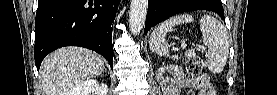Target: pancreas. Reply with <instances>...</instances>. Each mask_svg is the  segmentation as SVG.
Segmentation results:
<instances>
[{"label": "pancreas", "instance_id": "1", "mask_svg": "<svg viewBox=\"0 0 277 95\" xmlns=\"http://www.w3.org/2000/svg\"><path fill=\"white\" fill-rule=\"evenodd\" d=\"M173 59H174V60H177V59H178V57H177V56H173Z\"/></svg>", "mask_w": 277, "mask_h": 95}]
</instances>
